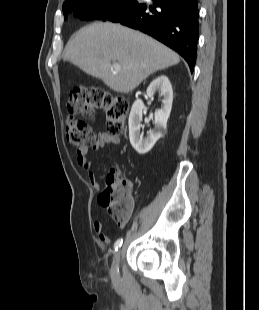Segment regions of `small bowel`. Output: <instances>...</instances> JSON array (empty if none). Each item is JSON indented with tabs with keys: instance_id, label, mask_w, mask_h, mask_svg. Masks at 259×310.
<instances>
[{
	"instance_id": "small-bowel-1",
	"label": "small bowel",
	"mask_w": 259,
	"mask_h": 310,
	"mask_svg": "<svg viewBox=\"0 0 259 310\" xmlns=\"http://www.w3.org/2000/svg\"><path fill=\"white\" fill-rule=\"evenodd\" d=\"M120 139L118 136L110 135L108 133L101 132L98 134L95 144L93 145V149L99 150L103 148L106 145H117L119 144ZM88 154V148L86 147H80L76 150V160L80 167H82L88 175L89 182L92 186V188L99 192L101 189V186L97 180V176L95 172L92 169V162L87 157ZM129 187L131 188V185L128 183ZM129 220V216H127L124 220L119 222L120 226H125ZM94 231L101 236L102 241L107 240V236L103 234V226L101 222H94L93 224Z\"/></svg>"
}]
</instances>
